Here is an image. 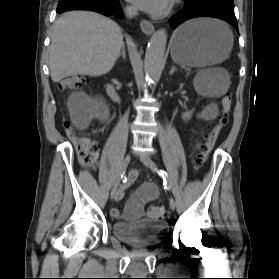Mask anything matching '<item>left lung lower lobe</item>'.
Wrapping results in <instances>:
<instances>
[{"mask_svg":"<svg viewBox=\"0 0 279 279\" xmlns=\"http://www.w3.org/2000/svg\"><path fill=\"white\" fill-rule=\"evenodd\" d=\"M195 17H215L228 22L238 31L233 0H184V7L171 17L170 25L176 28L184 21Z\"/></svg>","mask_w":279,"mask_h":279,"instance_id":"0a47b994","label":"left lung lower lobe"}]
</instances>
